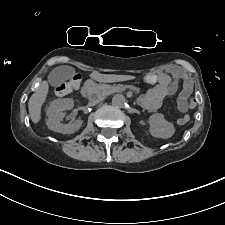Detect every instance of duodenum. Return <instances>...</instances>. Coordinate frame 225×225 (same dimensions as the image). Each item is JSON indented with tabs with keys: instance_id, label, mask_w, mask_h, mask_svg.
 Here are the masks:
<instances>
[{
	"instance_id": "410a0bca",
	"label": "duodenum",
	"mask_w": 225,
	"mask_h": 225,
	"mask_svg": "<svg viewBox=\"0 0 225 225\" xmlns=\"http://www.w3.org/2000/svg\"><path fill=\"white\" fill-rule=\"evenodd\" d=\"M92 89V84L89 83L85 89V95H90Z\"/></svg>"
}]
</instances>
